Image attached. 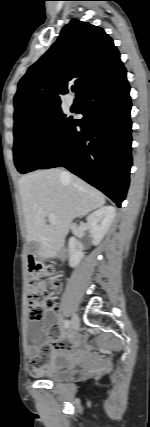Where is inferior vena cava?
<instances>
[{
  "label": "inferior vena cava",
  "mask_w": 150,
  "mask_h": 427,
  "mask_svg": "<svg viewBox=\"0 0 150 427\" xmlns=\"http://www.w3.org/2000/svg\"><path fill=\"white\" fill-rule=\"evenodd\" d=\"M62 176H63V177H68V176H69V173H68V172H66V171H63V172H62Z\"/></svg>",
  "instance_id": "602c4592"
}]
</instances>
